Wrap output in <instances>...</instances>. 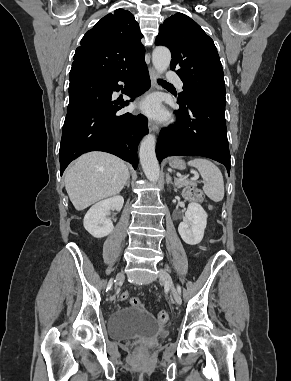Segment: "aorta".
<instances>
[{
    "mask_svg": "<svg viewBox=\"0 0 291 381\" xmlns=\"http://www.w3.org/2000/svg\"><path fill=\"white\" fill-rule=\"evenodd\" d=\"M171 61L168 48L158 46L153 50L152 63L155 70L164 73ZM156 138L152 134L146 135L140 144L139 157L142 169L148 180L155 182L159 179L160 168L155 153Z\"/></svg>",
    "mask_w": 291,
    "mask_h": 381,
    "instance_id": "1",
    "label": "aorta"
}]
</instances>
